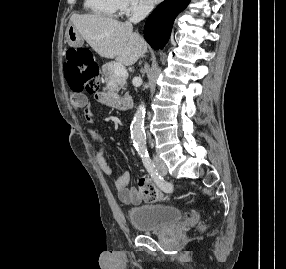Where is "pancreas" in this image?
Masks as SVG:
<instances>
[{
	"instance_id": "pancreas-1",
	"label": "pancreas",
	"mask_w": 286,
	"mask_h": 269,
	"mask_svg": "<svg viewBox=\"0 0 286 269\" xmlns=\"http://www.w3.org/2000/svg\"><path fill=\"white\" fill-rule=\"evenodd\" d=\"M115 62H109L102 66V74L105 78L106 83L113 81V85L110 88H104L103 95L107 102L112 103L119 98V91L124 89L126 84L127 75L119 76L114 72Z\"/></svg>"
}]
</instances>
